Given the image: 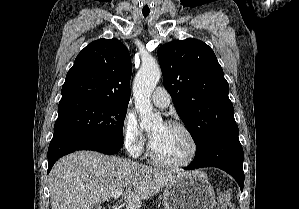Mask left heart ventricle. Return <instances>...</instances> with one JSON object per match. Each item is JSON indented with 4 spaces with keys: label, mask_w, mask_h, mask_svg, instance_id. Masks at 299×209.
<instances>
[{
    "label": "left heart ventricle",
    "mask_w": 299,
    "mask_h": 209,
    "mask_svg": "<svg viewBox=\"0 0 299 209\" xmlns=\"http://www.w3.org/2000/svg\"><path fill=\"white\" fill-rule=\"evenodd\" d=\"M155 155L167 162H181L191 153V142L187 135L177 129L158 124L150 131Z\"/></svg>",
    "instance_id": "obj_1"
}]
</instances>
